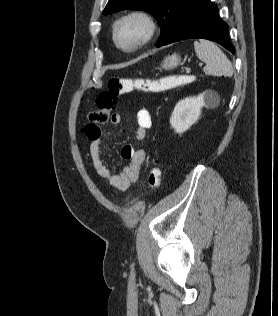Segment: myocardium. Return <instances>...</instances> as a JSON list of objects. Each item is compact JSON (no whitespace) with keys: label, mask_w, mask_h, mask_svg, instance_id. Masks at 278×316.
I'll return each instance as SVG.
<instances>
[{"label":"myocardium","mask_w":278,"mask_h":316,"mask_svg":"<svg viewBox=\"0 0 278 316\" xmlns=\"http://www.w3.org/2000/svg\"><path fill=\"white\" fill-rule=\"evenodd\" d=\"M136 22L142 26L143 32L140 38L131 45H123L118 38V29L125 23ZM157 31V23L154 17L146 10L132 9L119 16L112 26V39L120 50L132 53L146 46Z\"/></svg>","instance_id":"myocardium-1"}]
</instances>
